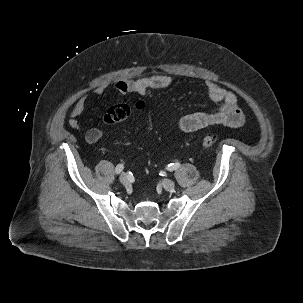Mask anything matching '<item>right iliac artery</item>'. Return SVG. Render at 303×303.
<instances>
[{
    "instance_id": "right-iliac-artery-1",
    "label": "right iliac artery",
    "mask_w": 303,
    "mask_h": 303,
    "mask_svg": "<svg viewBox=\"0 0 303 303\" xmlns=\"http://www.w3.org/2000/svg\"><path fill=\"white\" fill-rule=\"evenodd\" d=\"M124 169V165L123 164H118L115 168V173L119 174L122 172V170Z\"/></svg>"
}]
</instances>
